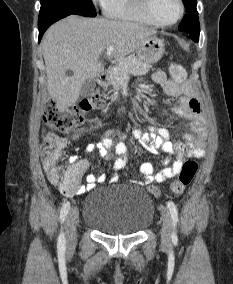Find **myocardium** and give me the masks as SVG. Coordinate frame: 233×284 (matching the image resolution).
Segmentation results:
<instances>
[{"label": "myocardium", "mask_w": 233, "mask_h": 284, "mask_svg": "<svg viewBox=\"0 0 233 284\" xmlns=\"http://www.w3.org/2000/svg\"><path fill=\"white\" fill-rule=\"evenodd\" d=\"M142 1V8L145 12V14L158 26L161 27H170L175 24H177L183 17L184 11H185V6L183 0H177L179 4V14L177 18L169 23L162 22L161 20L158 19V17L155 15L153 8H152V0H141Z\"/></svg>", "instance_id": "obj_1"}]
</instances>
